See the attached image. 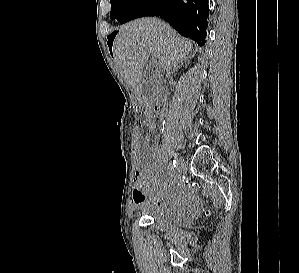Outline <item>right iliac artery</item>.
<instances>
[{
    "label": "right iliac artery",
    "instance_id": "obj_1",
    "mask_svg": "<svg viewBox=\"0 0 299 273\" xmlns=\"http://www.w3.org/2000/svg\"><path fill=\"white\" fill-rule=\"evenodd\" d=\"M175 167H176V161L173 160V161L170 162V164H169V169H170V171H173V170L175 169Z\"/></svg>",
    "mask_w": 299,
    "mask_h": 273
}]
</instances>
